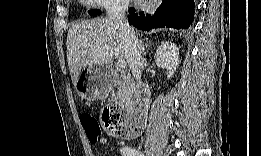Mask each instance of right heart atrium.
Masks as SVG:
<instances>
[{
	"label": "right heart atrium",
	"instance_id": "d8ad5b80",
	"mask_svg": "<svg viewBox=\"0 0 261 156\" xmlns=\"http://www.w3.org/2000/svg\"><path fill=\"white\" fill-rule=\"evenodd\" d=\"M91 4L94 5H98V6H103L105 8H113L116 7L118 5H120L119 3L116 2H112V1H90Z\"/></svg>",
	"mask_w": 261,
	"mask_h": 156
}]
</instances>
